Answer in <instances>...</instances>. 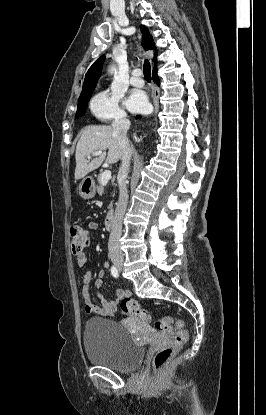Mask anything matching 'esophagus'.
Returning <instances> with one entry per match:
<instances>
[{
	"label": "esophagus",
	"mask_w": 266,
	"mask_h": 415,
	"mask_svg": "<svg viewBox=\"0 0 266 415\" xmlns=\"http://www.w3.org/2000/svg\"><path fill=\"white\" fill-rule=\"evenodd\" d=\"M158 103V95H155L154 97V105L157 106Z\"/></svg>",
	"instance_id": "1"
}]
</instances>
